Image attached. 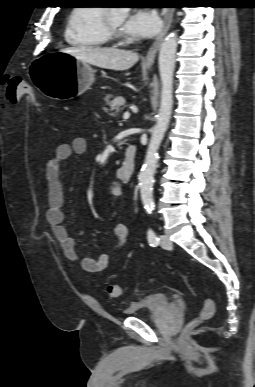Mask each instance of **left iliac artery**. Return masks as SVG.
Returning <instances> with one entry per match:
<instances>
[{
	"mask_svg": "<svg viewBox=\"0 0 255 387\" xmlns=\"http://www.w3.org/2000/svg\"><path fill=\"white\" fill-rule=\"evenodd\" d=\"M147 239L150 246L155 247L159 243V238L156 236L155 232L149 228L147 231Z\"/></svg>",
	"mask_w": 255,
	"mask_h": 387,
	"instance_id": "1",
	"label": "left iliac artery"
}]
</instances>
